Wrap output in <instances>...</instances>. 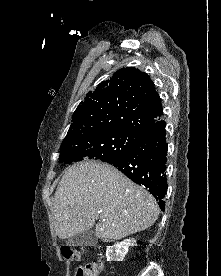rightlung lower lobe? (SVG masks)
Masks as SVG:
<instances>
[{
	"label": "right lung lower lobe",
	"mask_w": 221,
	"mask_h": 276,
	"mask_svg": "<svg viewBox=\"0 0 221 276\" xmlns=\"http://www.w3.org/2000/svg\"><path fill=\"white\" fill-rule=\"evenodd\" d=\"M165 121H157L127 154L107 163L113 165L132 181L144 186L164 211L167 192L166 162L167 142Z\"/></svg>",
	"instance_id": "98d812e1"
}]
</instances>
